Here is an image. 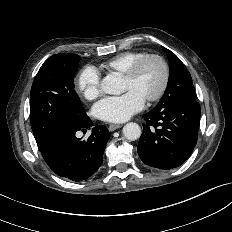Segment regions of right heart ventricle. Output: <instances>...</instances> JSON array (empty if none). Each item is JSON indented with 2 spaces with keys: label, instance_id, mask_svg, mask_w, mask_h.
Instances as JSON below:
<instances>
[{
  "label": "right heart ventricle",
  "instance_id": "e07e8e85",
  "mask_svg": "<svg viewBox=\"0 0 232 232\" xmlns=\"http://www.w3.org/2000/svg\"><path fill=\"white\" fill-rule=\"evenodd\" d=\"M145 54L146 53L139 51L123 52L108 60L104 66L108 70L124 74L135 61Z\"/></svg>",
  "mask_w": 232,
  "mask_h": 232
}]
</instances>
